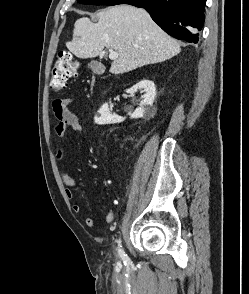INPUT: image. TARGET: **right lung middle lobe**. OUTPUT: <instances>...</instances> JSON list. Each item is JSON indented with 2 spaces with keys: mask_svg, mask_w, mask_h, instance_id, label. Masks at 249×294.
<instances>
[{
  "mask_svg": "<svg viewBox=\"0 0 249 294\" xmlns=\"http://www.w3.org/2000/svg\"><path fill=\"white\" fill-rule=\"evenodd\" d=\"M121 0H78L79 3L81 4H94V5H116L120 2Z\"/></svg>",
  "mask_w": 249,
  "mask_h": 294,
  "instance_id": "obj_1",
  "label": "right lung middle lobe"
}]
</instances>
